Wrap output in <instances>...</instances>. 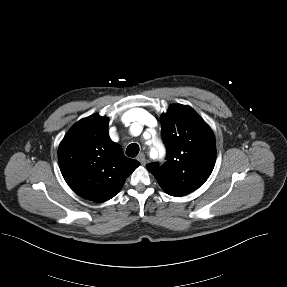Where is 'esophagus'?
<instances>
[{
    "label": "esophagus",
    "mask_w": 287,
    "mask_h": 287,
    "mask_svg": "<svg viewBox=\"0 0 287 287\" xmlns=\"http://www.w3.org/2000/svg\"><path fill=\"white\" fill-rule=\"evenodd\" d=\"M138 160L139 162L141 163V165L145 166L146 165V158H145V155L144 154H140L138 156Z\"/></svg>",
    "instance_id": "34e87169"
}]
</instances>
